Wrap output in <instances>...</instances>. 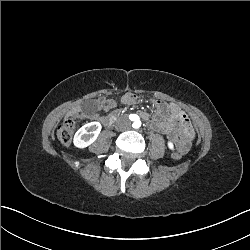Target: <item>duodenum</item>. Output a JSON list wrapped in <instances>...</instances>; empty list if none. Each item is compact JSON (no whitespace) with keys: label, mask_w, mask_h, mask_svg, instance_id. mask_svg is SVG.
I'll list each match as a JSON object with an SVG mask.
<instances>
[{"label":"duodenum","mask_w":250,"mask_h":250,"mask_svg":"<svg viewBox=\"0 0 250 250\" xmlns=\"http://www.w3.org/2000/svg\"><path fill=\"white\" fill-rule=\"evenodd\" d=\"M116 117H117L116 115H115V116H113V117H112V120H115V119H116Z\"/></svg>","instance_id":"obj_1"}]
</instances>
